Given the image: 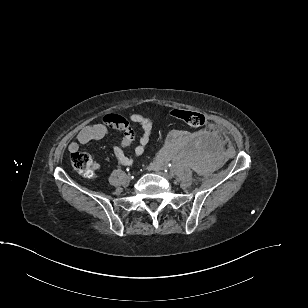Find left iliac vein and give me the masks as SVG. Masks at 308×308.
Listing matches in <instances>:
<instances>
[{"label": "left iliac vein", "instance_id": "left-iliac-vein-1", "mask_svg": "<svg viewBox=\"0 0 308 308\" xmlns=\"http://www.w3.org/2000/svg\"><path fill=\"white\" fill-rule=\"evenodd\" d=\"M149 169L158 173L159 175L163 176L166 179H170L172 176L165 172L162 168V166L158 163H153L149 166Z\"/></svg>", "mask_w": 308, "mask_h": 308}]
</instances>
